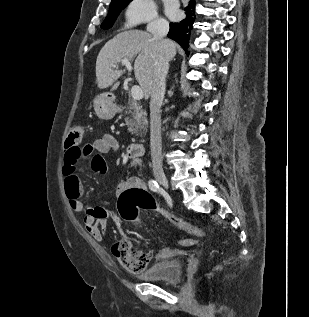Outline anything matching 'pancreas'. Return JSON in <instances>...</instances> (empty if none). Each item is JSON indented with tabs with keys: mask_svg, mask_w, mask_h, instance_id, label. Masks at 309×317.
<instances>
[{
	"mask_svg": "<svg viewBox=\"0 0 309 317\" xmlns=\"http://www.w3.org/2000/svg\"><path fill=\"white\" fill-rule=\"evenodd\" d=\"M126 115L125 117L126 125L128 130L132 134L138 135L141 131H144L148 121L146 119V112L142 109V106L138 104L135 99L129 98Z\"/></svg>",
	"mask_w": 309,
	"mask_h": 317,
	"instance_id": "pancreas-1",
	"label": "pancreas"
}]
</instances>
